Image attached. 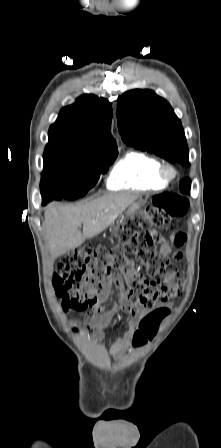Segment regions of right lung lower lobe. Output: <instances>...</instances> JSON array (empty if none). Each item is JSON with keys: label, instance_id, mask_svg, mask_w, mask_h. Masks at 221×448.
Segmentation results:
<instances>
[{"label": "right lung lower lobe", "instance_id": "right-lung-lower-lobe-1", "mask_svg": "<svg viewBox=\"0 0 221 448\" xmlns=\"http://www.w3.org/2000/svg\"><path fill=\"white\" fill-rule=\"evenodd\" d=\"M45 202H49V201H51V200H44ZM44 204H46V203H44Z\"/></svg>", "mask_w": 221, "mask_h": 448}]
</instances>
